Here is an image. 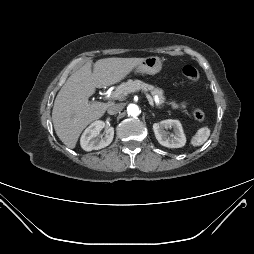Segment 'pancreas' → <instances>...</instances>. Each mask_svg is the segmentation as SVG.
<instances>
[{"instance_id":"1","label":"pancreas","mask_w":254,"mask_h":254,"mask_svg":"<svg viewBox=\"0 0 254 254\" xmlns=\"http://www.w3.org/2000/svg\"><path fill=\"white\" fill-rule=\"evenodd\" d=\"M138 90H142L144 92L149 91L153 97L158 98L157 106L159 108L164 106L165 100H166V98L164 96V90L159 87H155L151 84L144 83L141 80H131L130 79L127 82L120 84L116 88L115 92H120L121 93L120 98H124L127 94H130V93L138 91Z\"/></svg>"}]
</instances>
